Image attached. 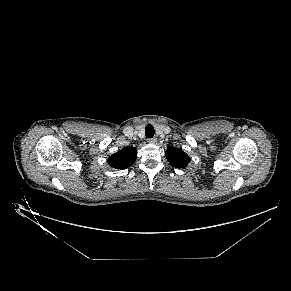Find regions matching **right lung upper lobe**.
<instances>
[{
	"label": "right lung upper lobe",
	"instance_id": "obj_1",
	"mask_svg": "<svg viewBox=\"0 0 291 291\" xmlns=\"http://www.w3.org/2000/svg\"><path fill=\"white\" fill-rule=\"evenodd\" d=\"M137 152L135 147H125L108 158V164L115 169H126L133 165Z\"/></svg>",
	"mask_w": 291,
	"mask_h": 291
}]
</instances>
